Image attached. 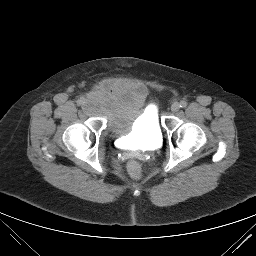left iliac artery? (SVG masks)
<instances>
[{"label": "left iliac artery", "mask_w": 256, "mask_h": 256, "mask_svg": "<svg viewBox=\"0 0 256 256\" xmlns=\"http://www.w3.org/2000/svg\"><path fill=\"white\" fill-rule=\"evenodd\" d=\"M186 106H187V102L184 101V100H182V101L180 102V107H181V108H185Z\"/></svg>", "instance_id": "left-iliac-artery-1"}]
</instances>
